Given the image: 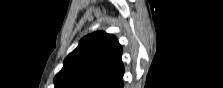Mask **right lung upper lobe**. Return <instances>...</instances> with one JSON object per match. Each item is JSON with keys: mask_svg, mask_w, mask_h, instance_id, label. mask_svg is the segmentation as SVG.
Returning a JSON list of instances; mask_svg holds the SVG:
<instances>
[{"mask_svg": "<svg viewBox=\"0 0 223 88\" xmlns=\"http://www.w3.org/2000/svg\"><path fill=\"white\" fill-rule=\"evenodd\" d=\"M122 48L116 37L96 32L84 37L55 76V88H123Z\"/></svg>", "mask_w": 223, "mask_h": 88, "instance_id": "cb5924a9", "label": "right lung upper lobe"}]
</instances>
